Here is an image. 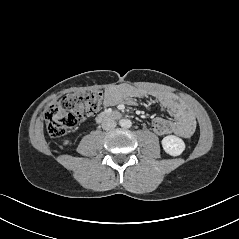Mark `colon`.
Listing matches in <instances>:
<instances>
[{
	"instance_id": "5ec220e1",
	"label": "colon",
	"mask_w": 239,
	"mask_h": 239,
	"mask_svg": "<svg viewBox=\"0 0 239 239\" xmlns=\"http://www.w3.org/2000/svg\"><path fill=\"white\" fill-rule=\"evenodd\" d=\"M103 95L98 90L71 93L48 108L45 113L47 131L51 137H61L97 112ZM172 130L171 121L165 116L156 117L151 123V131L157 137H165Z\"/></svg>"
}]
</instances>
